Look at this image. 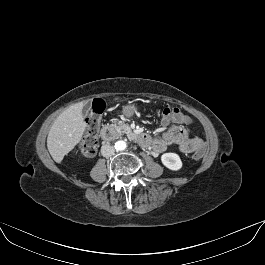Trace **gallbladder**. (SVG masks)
Segmentation results:
<instances>
[{
  "label": "gallbladder",
  "mask_w": 265,
  "mask_h": 265,
  "mask_svg": "<svg viewBox=\"0 0 265 265\" xmlns=\"http://www.w3.org/2000/svg\"><path fill=\"white\" fill-rule=\"evenodd\" d=\"M90 112V104H85L82 109L83 116H87Z\"/></svg>",
  "instance_id": "bac80fb5"
}]
</instances>
